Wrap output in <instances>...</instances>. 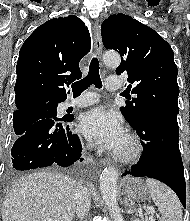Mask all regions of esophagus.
<instances>
[{"instance_id": "obj_1", "label": "esophagus", "mask_w": 190, "mask_h": 221, "mask_svg": "<svg viewBox=\"0 0 190 221\" xmlns=\"http://www.w3.org/2000/svg\"><path fill=\"white\" fill-rule=\"evenodd\" d=\"M93 37H94V50H95V54L97 55L98 58H101L102 47L103 46H102L100 26H99L98 22L94 23V26H93ZM100 163L103 166L111 164L109 159H102L100 161Z\"/></svg>"}]
</instances>
